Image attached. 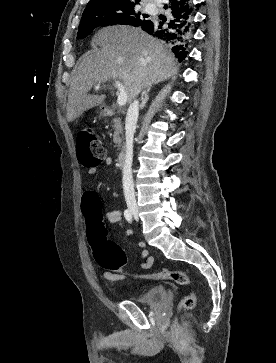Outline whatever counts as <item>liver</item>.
<instances>
[{"instance_id":"1","label":"liver","mask_w":276,"mask_h":363,"mask_svg":"<svg viewBox=\"0 0 276 363\" xmlns=\"http://www.w3.org/2000/svg\"><path fill=\"white\" fill-rule=\"evenodd\" d=\"M92 43L100 49L83 55L73 70L66 107L67 121L103 103L105 95H89L94 84L118 79L128 101L178 72L177 61L166 45L141 28L112 26L98 31Z\"/></svg>"}]
</instances>
